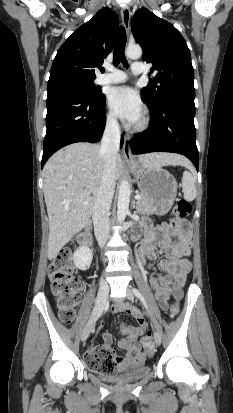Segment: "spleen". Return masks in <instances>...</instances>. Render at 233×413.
Instances as JSON below:
<instances>
[{
	"label": "spleen",
	"mask_w": 233,
	"mask_h": 413,
	"mask_svg": "<svg viewBox=\"0 0 233 413\" xmlns=\"http://www.w3.org/2000/svg\"><path fill=\"white\" fill-rule=\"evenodd\" d=\"M196 178L195 176L189 172L184 171L182 177V188L184 193V198L187 201H193L196 198Z\"/></svg>",
	"instance_id": "3e777b00"
}]
</instances>
